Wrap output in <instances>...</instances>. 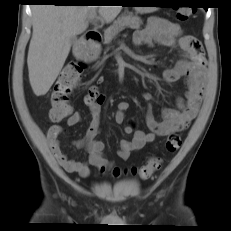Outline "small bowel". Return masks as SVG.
<instances>
[{"instance_id":"obj_1","label":"small bowel","mask_w":231,"mask_h":231,"mask_svg":"<svg viewBox=\"0 0 231 231\" xmlns=\"http://www.w3.org/2000/svg\"><path fill=\"white\" fill-rule=\"evenodd\" d=\"M133 43L137 46L163 44L178 48L181 59L177 64L163 73L166 82L172 83L184 79L187 87L185 98L177 99L178 109L165 108L161 120H156L148 112L146 123L149 131L134 130L132 125H127L124 132L133 135L132 139L123 140L120 143L118 156L127 160L132 152L142 149L146 144L151 143L156 137L169 135L170 133L184 130L196 117L205 91V58L201 43L194 37L184 35L182 28L177 23L166 19L155 17L149 20L147 26L133 34ZM103 78H98L97 85H90L84 97V102L89 109L91 120L83 139L76 142V146L83 147L88 152V159L84 162L70 159L63 151L59 137L63 131L59 125H53L47 133V143L59 162L69 173H77L82 177L89 175L90 167H108L109 161L103 155L104 144L95 139L99 127L101 105L104 102V95L99 91V84ZM147 100L153 96L145 94ZM129 108L127 101H120L116 106L114 115L115 122L122 124L125 120V112ZM82 120L78 111H73L68 119V126H75Z\"/></svg>"}]
</instances>
